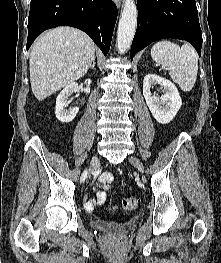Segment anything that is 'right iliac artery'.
<instances>
[{
  "label": "right iliac artery",
  "mask_w": 221,
  "mask_h": 263,
  "mask_svg": "<svg viewBox=\"0 0 221 263\" xmlns=\"http://www.w3.org/2000/svg\"><path fill=\"white\" fill-rule=\"evenodd\" d=\"M87 173L88 172L86 170L83 172L81 179H80L81 182H83L85 180V178L87 177Z\"/></svg>",
  "instance_id": "obj_1"
}]
</instances>
